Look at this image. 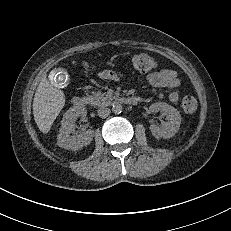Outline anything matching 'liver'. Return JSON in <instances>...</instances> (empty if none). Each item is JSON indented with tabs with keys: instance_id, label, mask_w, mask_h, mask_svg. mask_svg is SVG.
<instances>
[{
	"instance_id": "obj_1",
	"label": "liver",
	"mask_w": 231,
	"mask_h": 231,
	"mask_svg": "<svg viewBox=\"0 0 231 231\" xmlns=\"http://www.w3.org/2000/svg\"><path fill=\"white\" fill-rule=\"evenodd\" d=\"M65 104L63 91L55 88L43 78L39 83L33 100L34 120L39 130L46 134Z\"/></svg>"
}]
</instances>
